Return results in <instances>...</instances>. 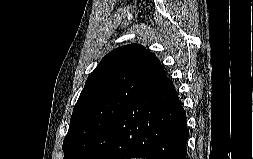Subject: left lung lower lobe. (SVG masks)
<instances>
[{"label":"left lung lower lobe","mask_w":253,"mask_h":159,"mask_svg":"<svg viewBox=\"0 0 253 159\" xmlns=\"http://www.w3.org/2000/svg\"><path fill=\"white\" fill-rule=\"evenodd\" d=\"M186 113L163 72L131 101L93 159H186Z\"/></svg>","instance_id":"obj_1"}]
</instances>
